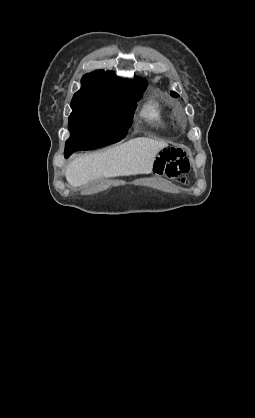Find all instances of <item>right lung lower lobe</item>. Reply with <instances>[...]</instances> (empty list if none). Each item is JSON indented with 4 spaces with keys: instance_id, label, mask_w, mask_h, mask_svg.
Returning a JSON list of instances; mask_svg holds the SVG:
<instances>
[{
    "instance_id": "98d812e1",
    "label": "right lung lower lobe",
    "mask_w": 255,
    "mask_h": 418,
    "mask_svg": "<svg viewBox=\"0 0 255 418\" xmlns=\"http://www.w3.org/2000/svg\"><path fill=\"white\" fill-rule=\"evenodd\" d=\"M71 153H72L71 151L65 149V152H64L65 157H68Z\"/></svg>"
}]
</instances>
